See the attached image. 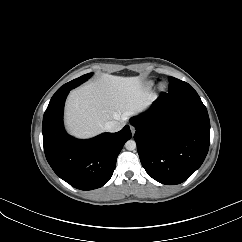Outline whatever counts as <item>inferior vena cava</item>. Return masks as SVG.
Here are the masks:
<instances>
[{"mask_svg": "<svg viewBox=\"0 0 242 242\" xmlns=\"http://www.w3.org/2000/svg\"><path fill=\"white\" fill-rule=\"evenodd\" d=\"M123 126H124L123 122L117 121V120H112L105 124V130H107L109 132H117V131L121 130L123 128Z\"/></svg>", "mask_w": 242, "mask_h": 242, "instance_id": "obj_1", "label": "inferior vena cava"}]
</instances>
